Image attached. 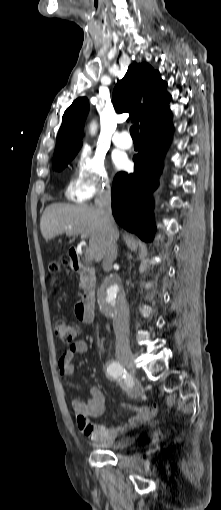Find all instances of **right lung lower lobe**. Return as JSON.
<instances>
[{"mask_svg": "<svg viewBox=\"0 0 221 510\" xmlns=\"http://www.w3.org/2000/svg\"><path fill=\"white\" fill-rule=\"evenodd\" d=\"M173 133L171 118L141 130V150L133 157L134 173L119 172L113 180L112 211L117 223L144 241L155 232L151 193L158 186L163 157Z\"/></svg>", "mask_w": 221, "mask_h": 510, "instance_id": "obj_1", "label": "right lung lower lobe"}]
</instances>
